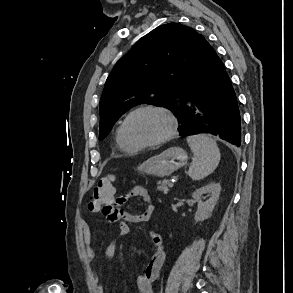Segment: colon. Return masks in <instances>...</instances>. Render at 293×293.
<instances>
[{"label": "colon", "mask_w": 293, "mask_h": 293, "mask_svg": "<svg viewBox=\"0 0 293 293\" xmlns=\"http://www.w3.org/2000/svg\"><path fill=\"white\" fill-rule=\"evenodd\" d=\"M115 194V176L110 174L102 178L93 188L89 208L95 211L104 210L113 203Z\"/></svg>", "instance_id": "1"}]
</instances>
